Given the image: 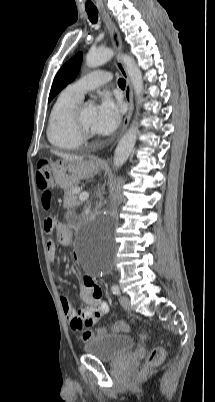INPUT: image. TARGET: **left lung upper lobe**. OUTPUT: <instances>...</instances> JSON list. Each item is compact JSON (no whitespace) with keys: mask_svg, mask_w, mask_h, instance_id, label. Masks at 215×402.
<instances>
[{"mask_svg":"<svg viewBox=\"0 0 215 402\" xmlns=\"http://www.w3.org/2000/svg\"><path fill=\"white\" fill-rule=\"evenodd\" d=\"M82 54L78 53L71 60L65 63L57 73L49 94L50 102L65 86L72 82L78 74Z\"/></svg>","mask_w":215,"mask_h":402,"instance_id":"1","label":"left lung upper lobe"}]
</instances>
